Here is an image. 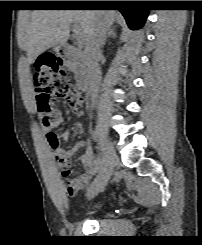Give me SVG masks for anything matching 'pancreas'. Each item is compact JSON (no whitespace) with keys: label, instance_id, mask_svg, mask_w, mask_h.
Returning <instances> with one entry per match:
<instances>
[{"label":"pancreas","instance_id":"cf45deb5","mask_svg":"<svg viewBox=\"0 0 202 245\" xmlns=\"http://www.w3.org/2000/svg\"><path fill=\"white\" fill-rule=\"evenodd\" d=\"M66 65H67L70 69L74 70V66H73V64H71L70 62H68Z\"/></svg>","mask_w":202,"mask_h":245}]
</instances>
